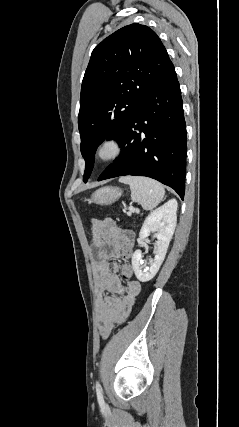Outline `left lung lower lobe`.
<instances>
[{"instance_id":"left-lung-lower-lobe-1","label":"left lung lower lobe","mask_w":239,"mask_h":427,"mask_svg":"<svg viewBox=\"0 0 239 427\" xmlns=\"http://www.w3.org/2000/svg\"><path fill=\"white\" fill-rule=\"evenodd\" d=\"M119 144L120 156L98 181L125 175L147 176L170 186L184 198L186 123L174 66L138 103Z\"/></svg>"}]
</instances>
